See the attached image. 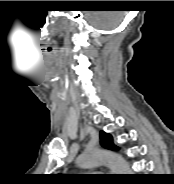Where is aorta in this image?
<instances>
[{"mask_svg": "<svg viewBox=\"0 0 174 184\" xmlns=\"http://www.w3.org/2000/svg\"><path fill=\"white\" fill-rule=\"evenodd\" d=\"M82 168L95 167L106 164L114 174H131L128 162L120 155L104 150H92L81 154L77 159Z\"/></svg>", "mask_w": 174, "mask_h": 184, "instance_id": "aorta-1", "label": "aorta"}]
</instances>
